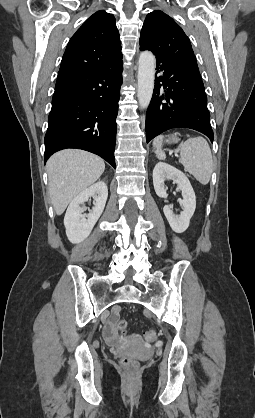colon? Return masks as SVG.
Listing matches in <instances>:
<instances>
[{
	"label": "colon",
	"mask_w": 255,
	"mask_h": 418,
	"mask_svg": "<svg viewBox=\"0 0 255 418\" xmlns=\"http://www.w3.org/2000/svg\"><path fill=\"white\" fill-rule=\"evenodd\" d=\"M114 321H116L117 328L121 332H124L126 330L127 322L124 319H121L119 314L115 315ZM155 338L156 333L154 331H148L145 333V339L147 341H153ZM120 365L125 371L133 373L138 369L139 362L133 357L126 356L120 359Z\"/></svg>",
	"instance_id": "colon-1"
}]
</instances>
